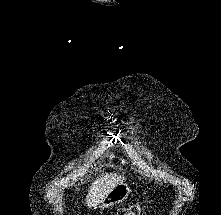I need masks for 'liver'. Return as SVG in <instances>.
<instances>
[{
	"mask_svg": "<svg viewBox=\"0 0 221 215\" xmlns=\"http://www.w3.org/2000/svg\"><path fill=\"white\" fill-rule=\"evenodd\" d=\"M124 180L125 177L117 173H105L98 177L89 187L84 204L88 207L100 205L107 194Z\"/></svg>",
	"mask_w": 221,
	"mask_h": 215,
	"instance_id": "6515ba94",
	"label": "liver"
}]
</instances>
